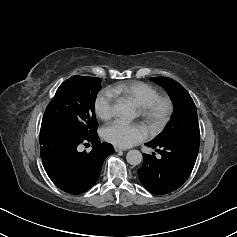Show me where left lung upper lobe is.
<instances>
[{
    "mask_svg": "<svg viewBox=\"0 0 237 237\" xmlns=\"http://www.w3.org/2000/svg\"><path fill=\"white\" fill-rule=\"evenodd\" d=\"M150 80L164 87L174 103L171 120L151 142L156 144L199 143L197 109L187 90L167 77H153Z\"/></svg>",
    "mask_w": 237,
    "mask_h": 237,
    "instance_id": "1",
    "label": "left lung upper lobe"
}]
</instances>
